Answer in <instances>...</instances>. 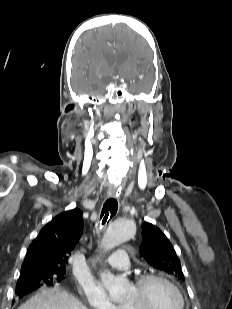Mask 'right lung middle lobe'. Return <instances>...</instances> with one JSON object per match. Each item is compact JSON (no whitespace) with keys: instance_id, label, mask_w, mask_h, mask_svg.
I'll return each mask as SVG.
<instances>
[{"instance_id":"1","label":"right lung middle lobe","mask_w":232,"mask_h":309,"mask_svg":"<svg viewBox=\"0 0 232 309\" xmlns=\"http://www.w3.org/2000/svg\"><path fill=\"white\" fill-rule=\"evenodd\" d=\"M66 271L43 270V271H23L17 282V287L31 286H51L60 283L65 278Z\"/></svg>"}]
</instances>
